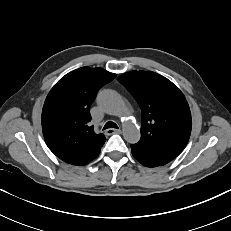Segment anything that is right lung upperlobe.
I'll return each mask as SVG.
<instances>
[{
	"label": "right lung upper lobe",
	"mask_w": 231,
	"mask_h": 231,
	"mask_svg": "<svg viewBox=\"0 0 231 231\" xmlns=\"http://www.w3.org/2000/svg\"><path fill=\"white\" fill-rule=\"evenodd\" d=\"M116 74L82 67L62 77L49 92L42 110V131L50 150L61 160L84 166L106 141L90 126L89 108L98 90Z\"/></svg>",
	"instance_id": "right-lung-upper-lobe-1"
}]
</instances>
